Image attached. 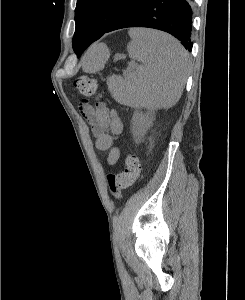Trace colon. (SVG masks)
<instances>
[{
	"label": "colon",
	"instance_id": "obj_1",
	"mask_svg": "<svg viewBox=\"0 0 245 300\" xmlns=\"http://www.w3.org/2000/svg\"><path fill=\"white\" fill-rule=\"evenodd\" d=\"M74 86L78 93L84 98L83 104L88 102V98L93 96L97 90V81L89 76L79 77ZM140 175L139 158L132 153H128L124 159V169L118 174L107 176V185L110 193L117 199L121 197L122 191L132 186Z\"/></svg>",
	"mask_w": 245,
	"mask_h": 300
}]
</instances>
